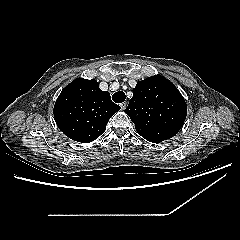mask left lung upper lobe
<instances>
[{
	"mask_svg": "<svg viewBox=\"0 0 240 240\" xmlns=\"http://www.w3.org/2000/svg\"><path fill=\"white\" fill-rule=\"evenodd\" d=\"M125 113L139 135L158 143L173 137L183 126L187 105L179 90L166 78L155 75L133 88Z\"/></svg>",
	"mask_w": 240,
	"mask_h": 240,
	"instance_id": "1",
	"label": "left lung upper lobe"
}]
</instances>
